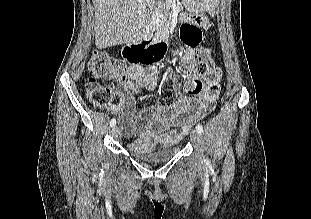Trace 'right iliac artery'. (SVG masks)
Returning <instances> with one entry per match:
<instances>
[{
    "label": "right iliac artery",
    "mask_w": 311,
    "mask_h": 219,
    "mask_svg": "<svg viewBox=\"0 0 311 219\" xmlns=\"http://www.w3.org/2000/svg\"><path fill=\"white\" fill-rule=\"evenodd\" d=\"M115 124H116V119L113 118V119L110 121V126L113 127V126H115Z\"/></svg>",
    "instance_id": "right-iliac-artery-1"
}]
</instances>
